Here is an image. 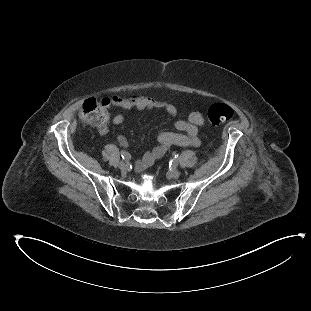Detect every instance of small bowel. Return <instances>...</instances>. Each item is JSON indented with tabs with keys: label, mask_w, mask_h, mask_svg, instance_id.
Listing matches in <instances>:
<instances>
[{
	"label": "small bowel",
	"mask_w": 311,
	"mask_h": 311,
	"mask_svg": "<svg viewBox=\"0 0 311 311\" xmlns=\"http://www.w3.org/2000/svg\"><path fill=\"white\" fill-rule=\"evenodd\" d=\"M127 107L125 111L130 110H147V109H163L168 115L176 114V107L168 102L154 99L152 97L136 94L126 97ZM125 117L123 114H116L112 118L114 125L123 123ZM205 120L201 113L191 112L186 119H180L175 122L176 132H161L157 140L158 145L151 151L146 152L137 162V169L143 171L149 168L156 160L163 157L172 146H199L201 144L200 130L204 127ZM100 135L108 133V127L105 122L97 126ZM118 142L122 146H126L127 141L124 136L118 137Z\"/></svg>",
	"instance_id": "small-bowel-1"
}]
</instances>
